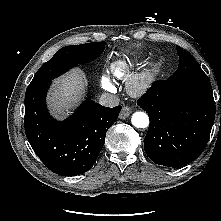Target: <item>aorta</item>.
I'll return each instance as SVG.
<instances>
[{
    "label": "aorta",
    "mask_w": 221,
    "mask_h": 221,
    "mask_svg": "<svg viewBox=\"0 0 221 221\" xmlns=\"http://www.w3.org/2000/svg\"><path fill=\"white\" fill-rule=\"evenodd\" d=\"M131 122L136 128L144 129L149 125V117L145 112L137 111L132 115Z\"/></svg>",
    "instance_id": "aorta-1"
}]
</instances>
